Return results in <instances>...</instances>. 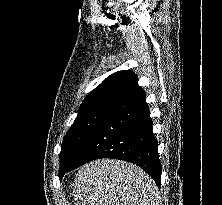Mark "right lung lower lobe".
Wrapping results in <instances>:
<instances>
[{"label": "right lung lower lobe", "mask_w": 222, "mask_h": 205, "mask_svg": "<svg viewBox=\"0 0 222 205\" xmlns=\"http://www.w3.org/2000/svg\"><path fill=\"white\" fill-rule=\"evenodd\" d=\"M152 129L145 92L140 89L106 113L60 178L92 160L114 158L140 166L160 186L162 166Z\"/></svg>", "instance_id": "right-lung-lower-lobe-1"}]
</instances>
